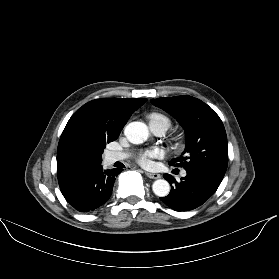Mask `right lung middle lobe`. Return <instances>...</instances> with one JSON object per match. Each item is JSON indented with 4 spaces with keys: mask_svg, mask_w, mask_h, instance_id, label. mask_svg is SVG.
<instances>
[{
    "mask_svg": "<svg viewBox=\"0 0 279 279\" xmlns=\"http://www.w3.org/2000/svg\"><path fill=\"white\" fill-rule=\"evenodd\" d=\"M107 143H109V142L102 141V142L99 143L98 147H99V150H100L101 153L103 152V150L106 147Z\"/></svg>",
    "mask_w": 279,
    "mask_h": 279,
    "instance_id": "right-lung-middle-lobe-1",
    "label": "right lung middle lobe"
}]
</instances>
